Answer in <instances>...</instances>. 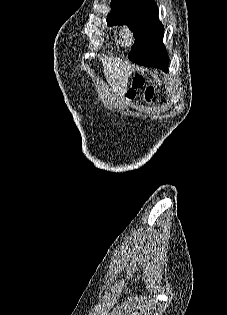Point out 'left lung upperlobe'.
<instances>
[{
	"instance_id": "5c2ea615",
	"label": "left lung upper lobe",
	"mask_w": 227,
	"mask_h": 315,
	"mask_svg": "<svg viewBox=\"0 0 227 315\" xmlns=\"http://www.w3.org/2000/svg\"><path fill=\"white\" fill-rule=\"evenodd\" d=\"M110 6L108 25L127 24L134 31L135 44L146 37L153 38L167 55L163 45L164 27L158 19L154 0H111Z\"/></svg>"
}]
</instances>
